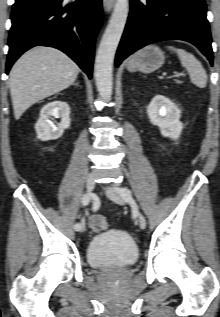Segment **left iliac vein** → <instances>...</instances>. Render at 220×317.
I'll list each match as a JSON object with an SVG mask.
<instances>
[{"instance_id": "obj_1", "label": "left iliac vein", "mask_w": 220, "mask_h": 317, "mask_svg": "<svg viewBox=\"0 0 220 317\" xmlns=\"http://www.w3.org/2000/svg\"><path fill=\"white\" fill-rule=\"evenodd\" d=\"M103 190L108 194V196L116 203L118 204H125L126 202H131L132 197L130 196L128 200H125L121 196L120 188L118 186H109V187H103ZM136 216L138 217V221L140 224V227L144 229L146 227V219L144 215L136 211Z\"/></svg>"}]
</instances>
